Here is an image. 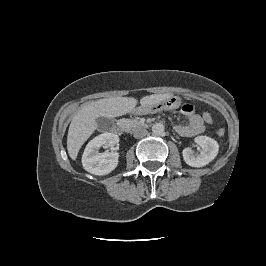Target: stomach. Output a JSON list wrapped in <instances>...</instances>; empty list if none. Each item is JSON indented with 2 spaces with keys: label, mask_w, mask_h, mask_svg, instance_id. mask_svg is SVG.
<instances>
[{
  "label": "stomach",
  "mask_w": 266,
  "mask_h": 266,
  "mask_svg": "<svg viewBox=\"0 0 266 266\" xmlns=\"http://www.w3.org/2000/svg\"><path fill=\"white\" fill-rule=\"evenodd\" d=\"M172 99H173V97H170L164 101L154 103L151 105H147V106L141 105V107H142L143 112H145V113H157V112H160V111L168 108L165 104L171 103V105H173V103L171 102Z\"/></svg>",
  "instance_id": "stomach-1"
}]
</instances>
